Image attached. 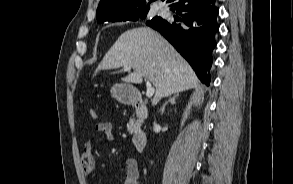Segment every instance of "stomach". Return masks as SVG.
Listing matches in <instances>:
<instances>
[{
    "label": "stomach",
    "instance_id": "obj_1",
    "mask_svg": "<svg viewBox=\"0 0 293 184\" xmlns=\"http://www.w3.org/2000/svg\"><path fill=\"white\" fill-rule=\"evenodd\" d=\"M110 92L113 98L124 104L134 102L139 96L138 90L130 84H115Z\"/></svg>",
    "mask_w": 293,
    "mask_h": 184
}]
</instances>
